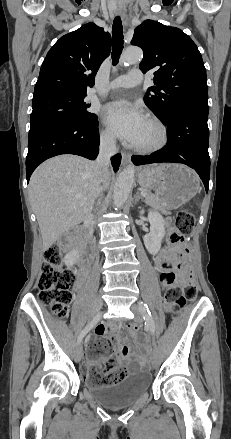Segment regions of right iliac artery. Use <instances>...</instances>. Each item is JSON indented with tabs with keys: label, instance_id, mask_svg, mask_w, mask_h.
Instances as JSON below:
<instances>
[{
	"label": "right iliac artery",
	"instance_id": "obj_1",
	"mask_svg": "<svg viewBox=\"0 0 231 439\" xmlns=\"http://www.w3.org/2000/svg\"><path fill=\"white\" fill-rule=\"evenodd\" d=\"M98 320H92L89 322L86 327L81 331V333L78 336V344L81 343L84 336L97 324Z\"/></svg>",
	"mask_w": 231,
	"mask_h": 439
}]
</instances>
